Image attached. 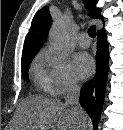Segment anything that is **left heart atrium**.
<instances>
[{
    "instance_id": "left-heart-atrium-1",
    "label": "left heart atrium",
    "mask_w": 123,
    "mask_h": 130,
    "mask_svg": "<svg viewBox=\"0 0 123 130\" xmlns=\"http://www.w3.org/2000/svg\"><path fill=\"white\" fill-rule=\"evenodd\" d=\"M73 66L79 78H86L94 69V61L88 53L80 52L74 55Z\"/></svg>"
}]
</instances>
